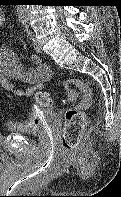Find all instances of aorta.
<instances>
[{
	"label": "aorta",
	"mask_w": 121,
	"mask_h": 197,
	"mask_svg": "<svg viewBox=\"0 0 121 197\" xmlns=\"http://www.w3.org/2000/svg\"><path fill=\"white\" fill-rule=\"evenodd\" d=\"M28 5H17V15L20 20H27L29 17Z\"/></svg>",
	"instance_id": "1"
}]
</instances>
